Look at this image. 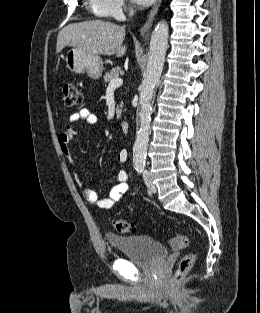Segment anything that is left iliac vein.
<instances>
[{"label": "left iliac vein", "instance_id": "4c4485c4", "mask_svg": "<svg viewBox=\"0 0 260 313\" xmlns=\"http://www.w3.org/2000/svg\"><path fill=\"white\" fill-rule=\"evenodd\" d=\"M143 178L144 182L149 190L150 193H155L157 191V188L155 184L152 182V178L147 170L143 172Z\"/></svg>", "mask_w": 260, "mask_h": 313}]
</instances>
